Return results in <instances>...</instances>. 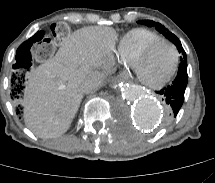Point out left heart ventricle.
Instances as JSON below:
<instances>
[{"mask_svg":"<svg viewBox=\"0 0 215 183\" xmlns=\"http://www.w3.org/2000/svg\"><path fill=\"white\" fill-rule=\"evenodd\" d=\"M174 62V50L170 45L161 43L155 46L139 63V72L144 81L158 83L169 75Z\"/></svg>","mask_w":215,"mask_h":183,"instance_id":"obj_1","label":"left heart ventricle"}]
</instances>
